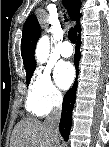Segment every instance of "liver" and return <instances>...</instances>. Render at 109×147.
Returning <instances> with one entry per match:
<instances>
[{
	"instance_id": "6515ba94",
	"label": "liver",
	"mask_w": 109,
	"mask_h": 147,
	"mask_svg": "<svg viewBox=\"0 0 109 147\" xmlns=\"http://www.w3.org/2000/svg\"><path fill=\"white\" fill-rule=\"evenodd\" d=\"M10 147H53L49 127L32 118L22 119L13 129Z\"/></svg>"
}]
</instances>
